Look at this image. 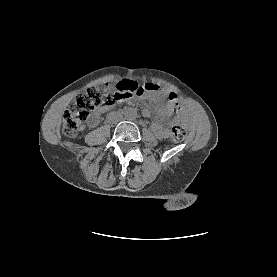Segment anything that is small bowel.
Listing matches in <instances>:
<instances>
[{
  "label": "small bowel",
  "mask_w": 277,
  "mask_h": 277,
  "mask_svg": "<svg viewBox=\"0 0 277 277\" xmlns=\"http://www.w3.org/2000/svg\"><path fill=\"white\" fill-rule=\"evenodd\" d=\"M150 89L146 90L152 92L156 95L157 103L154 104L153 110L157 116V119L152 123V129L159 138H167L171 133V126L177 124L178 122L185 120L183 117L182 110H178V115L171 122L170 125H165L163 119L168 116L175 107V104L178 102L177 95L171 90L160 89L154 84H148ZM142 114L145 117L151 116V111L147 108L143 109ZM100 120L99 113L94 114L91 117L90 124L92 126L97 125Z\"/></svg>",
  "instance_id": "obj_1"
}]
</instances>
